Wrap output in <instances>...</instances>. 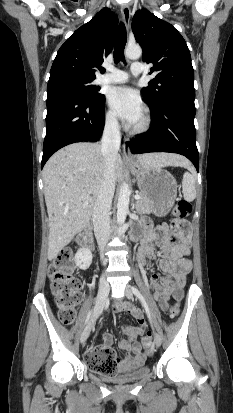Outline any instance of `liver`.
<instances>
[{
    "label": "liver",
    "mask_w": 233,
    "mask_h": 413,
    "mask_svg": "<svg viewBox=\"0 0 233 413\" xmlns=\"http://www.w3.org/2000/svg\"><path fill=\"white\" fill-rule=\"evenodd\" d=\"M136 158L146 168L188 165V161L177 154H143ZM104 166L101 145L87 142L62 148L45 164L43 182L49 216L48 260L52 261L89 223L101 188ZM122 173L123 161L117 155L115 182Z\"/></svg>",
    "instance_id": "1"
}]
</instances>
